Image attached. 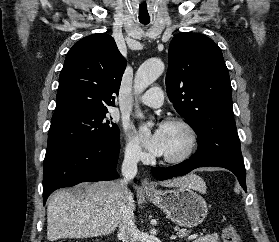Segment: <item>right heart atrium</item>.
Here are the masks:
<instances>
[{
	"instance_id": "right-heart-atrium-1",
	"label": "right heart atrium",
	"mask_w": 279,
	"mask_h": 242,
	"mask_svg": "<svg viewBox=\"0 0 279 242\" xmlns=\"http://www.w3.org/2000/svg\"><path fill=\"white\" fill-rule=\"evenodd\" d=\"M124 155L127 161L137 163L146 158L140 146L128 135L125 136Z\"/></svg>"
}]
</instances>
